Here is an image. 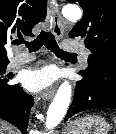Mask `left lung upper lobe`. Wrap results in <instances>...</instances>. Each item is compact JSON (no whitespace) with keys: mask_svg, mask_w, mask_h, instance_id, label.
Here are the masks:
<instances>
[{"mask_svg":"<svg viewBox=\"0 0 116 134\" xmlns=\"http://www.w3.org/2000/svg\"><path fill=\"white\" fill-rule=\"evenodd\" d=\"M78 2L84 14L69 32L70 38H82L91 53L88 67L80 72L91 73L104 64L116 65V0H67Z\"/></svg>","mask_w":116,"mask_h":134,"instance_id":"left-lung-upper-lobe-1","label":"left lung upper lobe"}]
</instances>
